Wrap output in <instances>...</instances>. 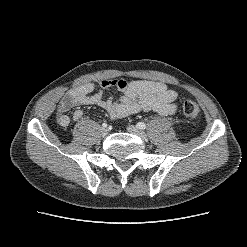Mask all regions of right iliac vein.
Returning a JSON list of instances; mask_svg holds the SVG:
<instances>
[{
	"instance_id": "right-iliac-vein-1",
	"label": "right iliac vein",
	"mask_w": 247,
	"mask_h": 247,
	"mask_svg": "<svg viewBox=\"0 0 247 247\" xmlns=\"http://www.w3.org/2000/svg\"><path fill=\"white\" fill-rule=\"evenodd\" d=\"M100 132H101V135L105 137L109 133V130L103 127L101 128Z\"/></svg>"
}]
</instances>
